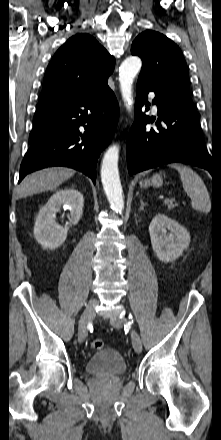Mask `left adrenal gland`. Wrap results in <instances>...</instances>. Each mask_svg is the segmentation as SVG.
Masks as SVG:
<instances>
[{
    "instance_id": "a2214340",
    "label": "left adrenal gland",
    "mask_w": 221,
    "mask_h": 440,
    "mask_svg": "<svg viewBox=\"0 0 221 440\" xmlns=\"http://www.w3.org/2000/svg\"><path fill=\"white\" fill-rule=\"evenodd\" d=\"M141 206H140V211H142L144 209V206H146L147 204L143 202V199L140 200Z\"/></svg>"
}]
</instances>
